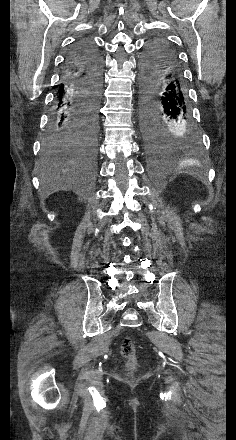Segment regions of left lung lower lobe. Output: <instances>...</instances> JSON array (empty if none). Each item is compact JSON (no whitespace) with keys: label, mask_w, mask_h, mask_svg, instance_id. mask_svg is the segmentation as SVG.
Returning a JSON list of instances; mask_svg holds the SVG:
<instances>
[{"label":"left lung lower lobe","mask_w":236,"mask_h":440,"mask_svg":"<svg viewBox=\"0 0 236 440\" xmlns=\"http://www.w3.org/2000/svg\"><path fill=\"white\" fill-rule=\"evenodd\" d=\"M141 65V130L150 152H160L170 144L195 143L198 133L176 55L165 52Z\"/></svg>","instance_id":"left-lung-lower-lobe-1"}]
</instances>
